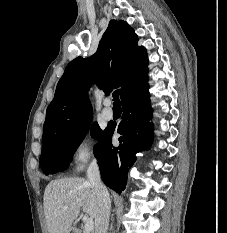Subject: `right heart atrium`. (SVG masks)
<instances>
[{"mask_svg":"<svg viewBox=\"0 0 227 233\" xmlns=\"http://www.w3.org/2000/svg\"><path fill=\"white\" fill-rule=\"evenodd\" d=\"M97 160L96 146L90 133L80 135L74 142L69 161L74 170H82L87 164Z\"/></svg>","mask_w":227,"mask_h":233,"instance_id":"1","label":"right heart atrium"}]
</instances>
